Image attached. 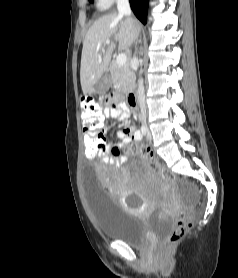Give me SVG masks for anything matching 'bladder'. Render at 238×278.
I'll return each instance as SVG.
<instances>
[{
	"label": "bladder",
	"instance_id": "bladder-1",
	"mask_svg": "<svg viewBox=\"0 0 238 278\" xmlns=\"http://www.w3.org/2000/svg\"><path fill=\"white\" fill-rule=\"evenodd\" d=\"M84 180H95V169L85 167ZM86 196L95 224L100 233L131 246H143L152 233H162L173 226L172 218L153 217L149 221L128 213L99 181H85Z\"/></svg>",
	"mask_w": 238,
	"mask_h": 278
}]
</instances>
